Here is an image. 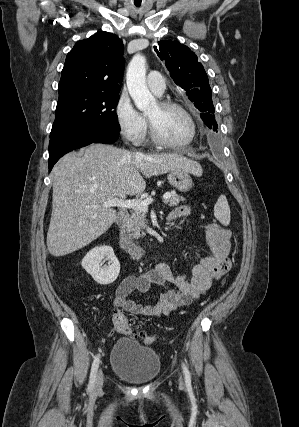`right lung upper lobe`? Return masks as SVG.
Segmentation results:
<instances>
[{"instance_id": "1", "label": "right lung upper lobe", "mask_w": 299, "mask_h": 427, "mask_svg": "<svg viewBox=\"0 0 299 427\" xmlns=\"http://www.w3.org/2000/svg\"><path fill=\"white\" fill-rule=\"evenodd\" d=\"M123 42L107 32L78 41L67 54L59 82V100L84 92L119 93L123 78Z\"/></svg>"}]
</instances>
